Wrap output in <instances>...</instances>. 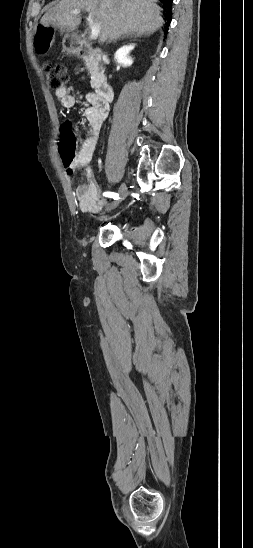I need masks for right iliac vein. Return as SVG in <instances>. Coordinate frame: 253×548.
I'll use <instances>...</instances> for the list:
<instances>
[{
  "mask_svg": "<svg viewBox=\"0 0 253 548\" xmlns=\"http://www.w3.org/2000/svg\"><path fill=\"white\" fill-rule=\"evenodd\" d=\"M119 195H120L119 199L117 201L113 202L112 205L107 207V210H110L113 207H116L122 200H124L127 197L128 191H127V187H126L125 183L121 184V186L119 188Z\"/></svg>",
  "mask_w": 253,
  "mask_h": 548,
  "instance_id": "1",
  "label": "right iliac vein"
}]
</instances>
